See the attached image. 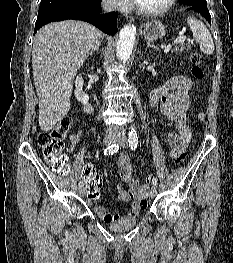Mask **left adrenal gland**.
Segmentation results:
<instances>
[{
    "label": "left adrenal gland",
    "instance_id": "a2214340",
    "mask_svg": "<svg viewBox=\"0 0 233 263\" xmlns=\"http://www.w3.org/2000/svg\"><path fill=\"white\" fill-rule=\"evenodd\" d=\"M149 47L154 48V49H158L157 46H155L154 44L152 45L150 43V41L147 43L146 49H148Z\"/></svg>",
    "mask_w": 233,
    "mask_h": 263
}]
</instances>
